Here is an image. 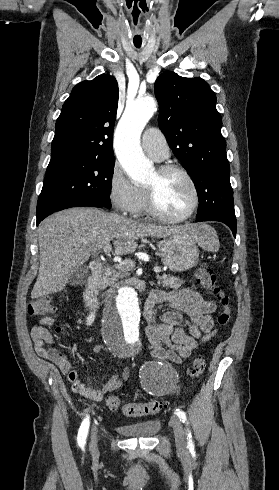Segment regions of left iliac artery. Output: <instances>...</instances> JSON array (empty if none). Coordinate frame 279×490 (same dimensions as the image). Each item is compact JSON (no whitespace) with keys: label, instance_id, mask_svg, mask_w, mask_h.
<instances>
[{"label":"left iliac artery","instance_id":"obj_1","mask_svg":"<svg viewBox=\"0 0 279 490\" xmlns=\"http://www.w3.org/2000/svg\"><path fill=\"white\" fill-rule=\"evenodd\" d=\"M176 415L179 417L180 420H182L183 423L187 420L185 413L179 409L176 410ZM191 438H192V436H191V433L189 432L188 437H187L188 447H189V450H194V444H193Z\"/></svg>","mask_w":279,"mask_h":490}]
</instances>
